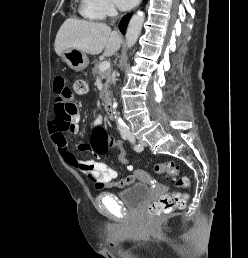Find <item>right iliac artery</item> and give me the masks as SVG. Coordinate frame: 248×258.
<instances>
[{
    "label": "right iliac artery",
    "mask_w": 248,
    "mask_h": 258,
    "mask_svg": "<svg viewBox=\"0 0 248 258\" xmlns=\"http://www.w3.org/2000/svg\"><path fill=\"white\" fill-rule=\"evenodd\" d=\"M128 137H129L128 134H125V133L122 134V138H123V139H128Z\"/></svg>",
    "instance_id": "82829eb1"
}]
</instances>
